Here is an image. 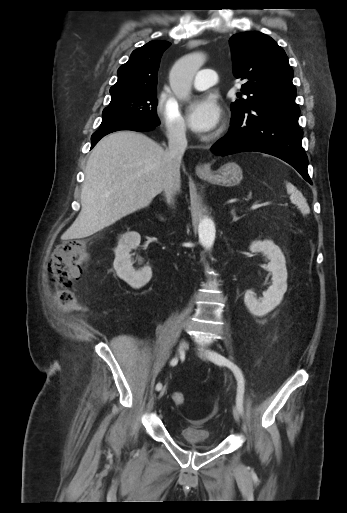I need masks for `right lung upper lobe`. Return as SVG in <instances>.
<instances>
[{
  "mask_svg": "<svg viewBox=\"0 0 347 513\" xmlns=\"http://www.w3.org/2000/svg\"><path fill=\"white\" fill-rule=\"evenodd\" d=\"M170 45L168 41L154 40L134 50L118 69V80L110 93L156 89L160 58Z\"/></svg>",
  "mask_w": 347,
  "mask_h": 513,
  "instance_id": "cb5924a9",
  "label": "right lung upper lobe"
}]
</instances>
